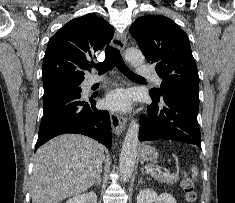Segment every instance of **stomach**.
I'll return each mask as SVG.
<instances>
[{"label": "stomach", "mask_w": 235, "mask_h": 203, "mask_svg": "<svg viewBox=\"0 0 235 203\" xmlns=\"http://www.w3.org/2000/svg\"><path fill=\"white\" fill-rule=\"evenodd\" d=\"M140 157L143 161L152 162L157 160L158 152L155 148L145 145L140 149Z\"/></svg>", "instance_id": "obj_1"}]
</instances>
